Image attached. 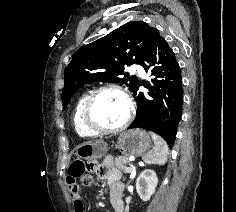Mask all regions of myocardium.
I'll list each match as a JSON object with an SVG mask.
<instances>
[{"label":"myocardium","instance_id":"obj_1","mask_svg":"<svg viewBox=\"0 0 236 212\" xmlns=\"http://www.w3.org/2000/svg\"><path fill=\"white\" fill-rule=\"evenodd\" d=\"M107 90H113L120 93L124 97L128 106V112H127L125 121L120 126L116 128H111V129L101 128L97 126L92 119V108H93V104L96 97L100 93ZM134 115H135V105L129 92L118 84L109 83V84L102 85L96 88L95 90H93L91 93H89L84 103L82 119H83V123L85 127L91 132L96 133V134L107 135V134H116L127 129L129 125L132 123L134 119Z\"/></svg>","mask_w":236,"mask_h":212}]
</instances>
